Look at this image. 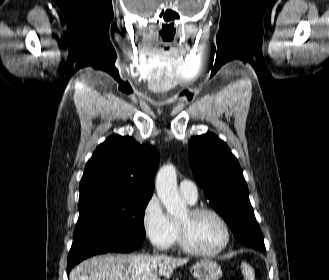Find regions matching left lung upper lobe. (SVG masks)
<instances>
[{
    "label": "left lung upper lobe",
    "mask_w": 329,
    "mask_h": 280,
    "mask_svg": "<svg viewBox=\"0 0 329 280\" xmlns=\"http://www.w3.org/2000/svg\"><path fill=\"white\" fill-rule=\"evenodd\" d=\"M189 154L195 179L235 237L245 245L265 249L241 167L226 143L213 133L192 137Z\"/></svg>",
    "instance_id": "left-lung-upper-lobe-1"
}]
</instances>
